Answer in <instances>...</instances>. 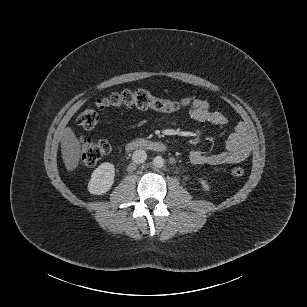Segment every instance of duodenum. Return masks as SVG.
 I'll list each match as a JSON object with an SVG mask.
<instances>
[{"label": "duodenum", "mask_w": 307, "mask_h": 307, "mask_svg": "<svg viewBox=\"0 0 307 307\" xmlns=\"http://www.w3.org/2000/svg\"><path fill=\"white\" fill-rule=\"evenodd\" d=\"M145 148L154 152H164L167 150V147L165 144L157 141H151L147 139H135L128 143L127 148L128 149H134V148Z\"/></svg>", "instance_id": "duodenum-1"}]
</instances>
